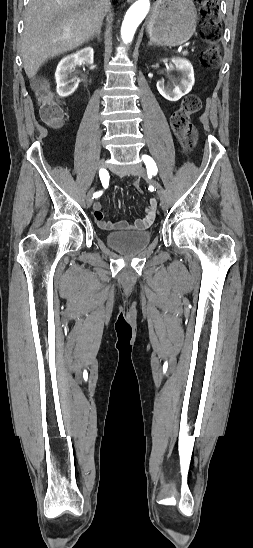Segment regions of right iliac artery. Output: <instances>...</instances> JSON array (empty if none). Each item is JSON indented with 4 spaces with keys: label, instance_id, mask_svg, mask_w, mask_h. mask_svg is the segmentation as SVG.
I'll list each match as a JSON object with an SVG mask.
<instances>
[{
    "label": "right iliac artery",
    "instance_id": "obj_1",
    "mask_svg": "<svg viewBox=\"0 0 253 548\" xmlns=\"http://www.w3.org/2000/svg\"><path fill=\"white\" fill-rule=\"evenodd\" d=\"M99 176H100V179H101V182L103 184L104 187H106L108 185V174H107V171L105 169H101L99 171ZM102 194V191H99V192H96L93 194V197H99L101 196Z\"/></svg>",
    "mask_w": 253,
    "mask_h": 548
}]
</instances>
